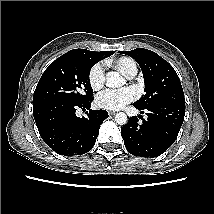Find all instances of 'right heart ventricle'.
I'll use <instances>...</instances> for the list:
<instances>
[{
  "label": "right heart ventricle",
  "instance_id": "1",
  "mask_svg": "<svg viewBox=\"0 0 214 214\" xmlns=\"http://www.w3.org/2000/svg\"><path fill=\"white\" fill-rule=\"evenodd\" d=\"M115 68L126 76H134L138 71L137 63L130 57H120L114 62Z\"/></svg>",
  "mask_w": 214,
  "mask_h": 214
}]
</instances>
